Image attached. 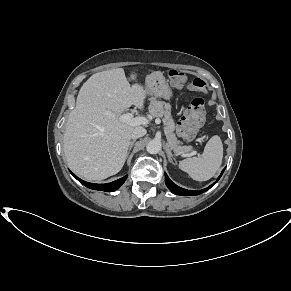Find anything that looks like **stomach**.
I'll return each instance as SVG.
<instances>
[{
    "label": "stomach",
    "instance_id": "0dacf381",
    "mask_svg": "<svg viewBox=\"0 0 291 291\" xmlns=\"http://www.w3.org/2000/svg\"><path fill=\"white\" fill-rule=\"evenodd\" d=\"M145 89L147 93L154 97L170 99L172 91L161 72H155L146 77Z\"/></svg>",
    "mask_w": 291,
    "mask_h": 291
}]
</instances>
